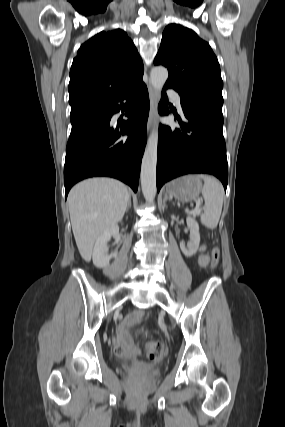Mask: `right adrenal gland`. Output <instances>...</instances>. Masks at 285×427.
<instances>
[{"label": "right adrenal gland", "instance_id": "1", "mask_svg": "<svg viewBox=\"0 0 285 427\" xmlns=\"http://www.w3.org/2000/svg\"><path fill=\"white\" fill-rule=\"evenodd\" d=\"M131 207V196H129V201H128V205H127V211H128V209Z\"/></svg>", "mask_w": 285, "mask_h": 427}]
</instances>
